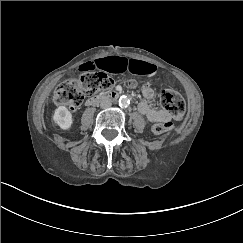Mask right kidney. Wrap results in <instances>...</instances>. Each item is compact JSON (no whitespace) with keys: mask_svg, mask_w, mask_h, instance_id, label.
Listing matches in <instances>:
<instances>
[{"mask_svg":"<svg viewBox=\"0 0 243 243\" xmlns=\"http://www.w3.org/2000/svg\"><path fill=\"white\" fill-rule=\"evenodd\" d=\"M53 120L62 129H69L73 122L71 112L64 106H60L55 110Z\"/></svg>","mask_w":243,"mask_h":243,"instance_id":"obj_1","label":"right kidney"}]
</instances>
